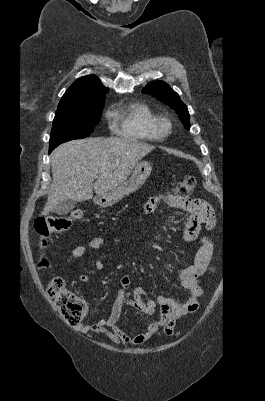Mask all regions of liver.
<instances>
[{
    "label": "liver",
    "mask_w": 265,
    "mask_h": 401,
    "mask_svg": "<svg viewBox=\"0 0 265 401\" xmlns=\"http://www.w3.org/2000/svg\"><path fill=\"white\" fill-rule=\"evenodd\" d=\"M154 144L131 138H83L57 146L50 154L53 182L41 215H49L61 201H89L95 190L105 196L122 184L138 160ZM98 174V176H92ZM94 178H97L93 184Z\"/></svg>",
    "instance_id": "liver-1"
}]
</instances>
